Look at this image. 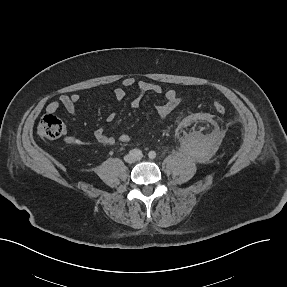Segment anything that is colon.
I'll use <instances>...</instances> for the list:
<instances>
[{
    "label": "colon",
    "instance_id": "obj_1",
    "mask_svg": "<svg viewBox=\"0 0 287 287\" xmlns=\"http://www.w3.org/2000/svg\"><path fill=\"white\" fill-rule=\"evenodd\" d=\"M213 110L217 114H224L226 112V107L221 102H214ZM37 131L43 139L54 140L64 134L65 126L57 116L47 114L38 123Z\"/></svg>",
    "mask_w": 287,
    "mask_h": 287
}]
</instances>
